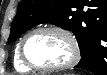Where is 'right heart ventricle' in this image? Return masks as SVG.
Segmentation results:
<instances>
[{
  "label": "right heart ventricle",
  "mask_w": 107,
  "mask_h": 75,
  "mask_svg": "<svg viewBox=\"0 0 107 75\" xmlns=\"http://www.w3.org/2000/svg\"><path fill=\"white\" fill-rule=\"evenodd\" d=\"M20 42L16 45L15 52H14V60H13L14 61V67L19 72H28L31 69L29 67H27L26 65H24L20 59V55H19Z\"/></svg>",
  "instance_id": "right-heart-ventricle-1"
}]
</instances>
